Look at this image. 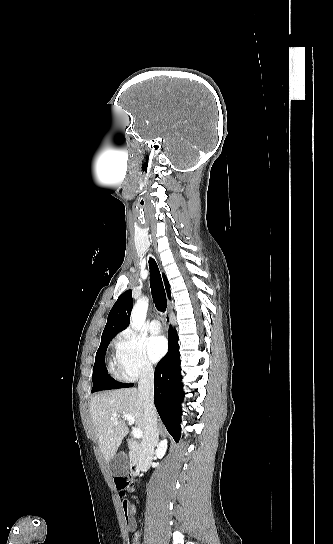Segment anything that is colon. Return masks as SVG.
<instances>
[{
	"label": "colon",
	"instance_id": "colon-1",
	"mask_svg": "<svg viewBox=\"0 0 333 544\" xmlns=\"http://www.w3.org/2000/svg\"><path fill=\"white\" fill-rule=\"evenodd\" d=\"M116 486L118 490L122 493V499L124 502H127L126 493L131 492L134 489V480L130 476H122L115 479ZM133 544H138L137 541H135Z\"/></svg>",
	"mask_w": 333,
	"mask_h": 544
}]
</instances>
